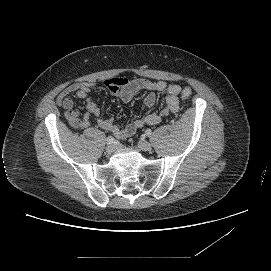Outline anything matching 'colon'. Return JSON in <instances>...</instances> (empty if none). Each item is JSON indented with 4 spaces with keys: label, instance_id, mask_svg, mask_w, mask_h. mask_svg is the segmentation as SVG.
Listing matches in <instances>:
<instances>
[{
    "label": "colon",
    "instance_id": "colon-1",
    "mask_svg": "<svg viewBox=\"0 0 271 271\" xmlns=\"http://www.w3.org/2000/svg\"><path fill=\"white\" fill-rule=\"evenodd\" d=\"M191 95H192V90L189 87H186L181 91L182 99H188L189 97H191Z\"/></svg>",
    "mask_w": 271,
    "mask_h": 271
}]
</instances>
